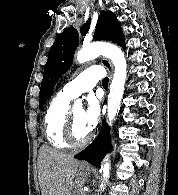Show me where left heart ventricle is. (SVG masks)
<instances>
[{"label": "left heart ventricle", "instance_id": "b2bd125f", "mask_svg": "<svg viewBox=\"0 0 178 195\" xmlns=\"http://www.w3.org/2000/svg\"><path fill=\"white\" fill-rule=\"evenodd\" d=\"M73 122H74V136L77 141L84 140L89 132L83 123V111L81 109L73 111Z\"/></svg>", "mask_w": 178, "mask_h": 195}]
</instances>
